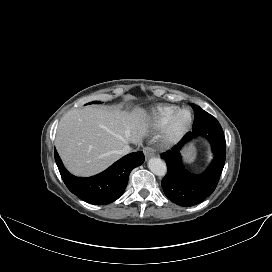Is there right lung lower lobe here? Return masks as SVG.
I'll list each match as a JSON object with an SVG mask.
<instances>
[{"mask_svg":"<svg viewBox=\"0 0 272 272\" xmlns=\"http://www.w3.org/2000/svg\"><path fill=\"white\" fill-rule=\"evenodd\" d=\"M142 151L130 153L102 173L80 178L70 174L55 151V161L67 188L90 204L106 205L117 200L124 192L130 172L144 162Z\"/></svg>","mask_w":272,"mask_h":272,"instance_id":"1","label":"right lung lower lobe"}]
</instances>
